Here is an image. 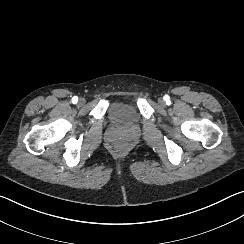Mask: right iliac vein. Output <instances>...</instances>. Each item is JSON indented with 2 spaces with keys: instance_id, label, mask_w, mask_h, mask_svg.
<instances>
[{
  "instance_id": "63e3f726",
  "label": "right iliac vein",
  "mask_w": 244,
  "mask_h": 244,
  "mask_svg": "<svg viewBox=\"0 0 244 244\" xmlns=\"http://www.w3.org/2000/svg\"><path fill=\"white\" fill-rule=\"evenodd\" d=\"M86 103V100L84 98L79 99V106H84Z\"/></svg>"
}]
</instances>
